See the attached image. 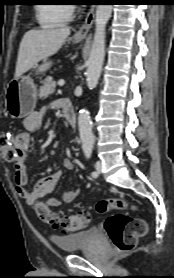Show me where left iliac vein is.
<instances>
[{
  "label": "left iliac vein",
  "instance_id": "1",
  "mask_svg": "<svg viewBox=\"0 0 174 278\" xmlns=\"http://www.w3.org/2000/svg\"><path fill=\"white\" fill-rule=\"evenodd\" d=\"M95 168H96V172L98 174L101 173V169H102V163L100 161H97L96 164H95Z\"/></svg>",
  "mask_w": 174,
  "mask_h": 278
}]
</instances>
